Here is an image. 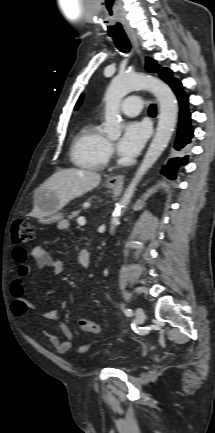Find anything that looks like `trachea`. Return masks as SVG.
Segmentation results:
<instances>
[{
  "label": "trachea",
  "mask_w": 215,
  "mask_h": 433,
  "mask_svg": "<svg viewBox=\"0 0 215 433\" xmlns=\"http://www.w3.org/2000/svg\"><path fill=\"white\" fill-rule=\"evenodd\" d=\"M111 37L114 40V44L121 52H128L130 50V42L126 35H115ZM149 113H156V106L154 104L149 106Z\"/></svg>",
  "instance_id": "trachea-1"
}]
</instances>
